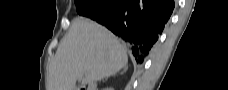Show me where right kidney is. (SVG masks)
Listing matches in <instances>:
<instances>
[{"mask_svg": "<svg viewBox=\"0 0 228 90\" xmlns=\"http://www.w3.org/2000/svg\"><path fill=\"white\" fill-rule=\"evenodd\" d=\"M112 88H106V90H111Z\"/></svg>", "mask_w": 228, "mask_h": 90, "instance_id": "1", "label": "right kidney"}]
</instances>
